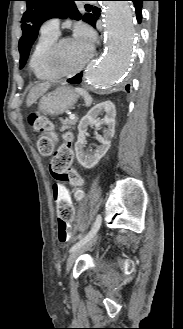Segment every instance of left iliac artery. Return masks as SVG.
<instances>
[{"mask_svg":"<svg viewBox=\"0 0 183 329\" xmlns=\"http://www.w3.org/2000/svg\"><path fill=\"white\" fill-rule=\"evenodd\" d=\"M101 221H102L101 216L100 215H97L96 220L94 222V225H93L91 231L83 239H81L79 242H77L70 249V251H74L75 249H77L81 245L85 244L90 238H92L96 234V232L98 231V229L100 228Z\"/></svg>","mask_w":183,"mask_h":329,"instance_id":"left-iliac-artery-1","label":"left iliac artery"}]
</instances>
